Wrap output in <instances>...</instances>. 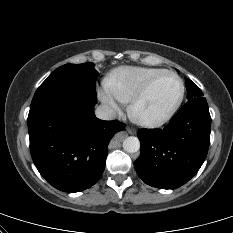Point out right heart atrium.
<instances>
[{
    "mask_svg": "<svg viewBox=\"0 0 233 233\" xmlns=\"http://www.w3.org/2000/svg\"><path fill=\"white\" fill-rule=\"evenodd\" d=\"M99 98L110 111L118 112L120 110L117 101L106 89H103L99 92Z\"/></svg>",
    "mask_w": 233,
    "mask_h": 233,
    "instance_id": "obj_1",
    "label": "right heart atrium"
}]
</instances>
